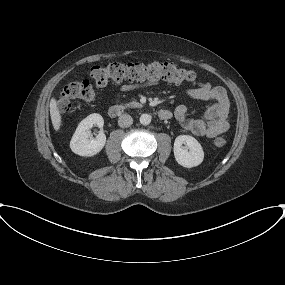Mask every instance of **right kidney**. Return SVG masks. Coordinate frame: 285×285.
I'll use <instances>...</instances> for the list:
<instances>
[{
	"instance_id": "1",
	"label": "right kidney",
	"mask_w": 285,
	"mask_h": 285,
	"mask_svg": "<svg viewBox=\"0 0 285 285\" xmlns=\"http://www.w3.org/2000/svg\"><path fill=\"white\" fill-rule=\"evenodd\" d=\"M97 125L102 128L104 125L103 117L98 113H93L83 119L70 141L72 152L84 157H91L99 153L106 143V136L103 131L96 136L91 137V128Z\"/></svg>"
}]
</instances>
